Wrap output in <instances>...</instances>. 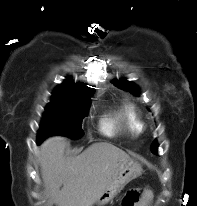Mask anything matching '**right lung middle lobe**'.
Returning a JSON list of instances; mask_svg holds the SVG:
<instances>
[{
  "mask_svg": "<svg viewBox=\"0 0 197 206\" xmlns=\"http://www.w3.org/2000/svg\"><path fill=\"white\" fill-rule=\"evenodd\" d=\"M91 93L87 97L73 95H53L43 114L37 143L53 135L68 136L73 139L83 135L82 119L90 107Z\"/></svg>",
  "mask_w": 197,
  "mask_h": 206,
  "instance_id": "right-lung-middle-lobe-1",
  "label": "right lung middle lobe"
}]
</instances>
